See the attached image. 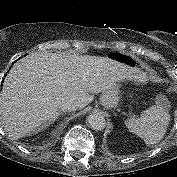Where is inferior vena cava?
Wrapping results in <instances>:
<instances>
[{
	"instance_id": "1",
	"label": "inferior vena cava",
	"mask_w": 177,
	"mask_h": 177,
	"mask_svg": "<svg viewBox=\"0 0 177 177\" xmlns=\"http://www.w3.org/2000/svg\"><path fill=\"white\" fill-rule=\"evenodd\" d=\"M79 108V104L76 102L66 101L60 104L59 109L62 112H72Z\"/></svg>"
}]
</instances>
